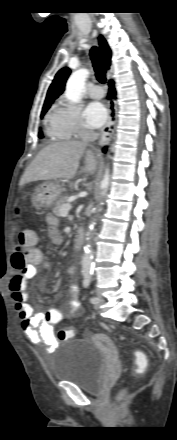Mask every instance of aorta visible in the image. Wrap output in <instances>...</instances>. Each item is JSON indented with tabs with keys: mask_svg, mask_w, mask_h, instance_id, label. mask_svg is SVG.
Wrapping results in <instances>:
<instances>
[{
	"mask_svg": "<svg viewBox=\"0 0 177 440\" xmlns=\"http://www.w3.org/2000/svg\"><path fill=\"white\" fill-rule=\"evenodd\" d=\"M88 75H89V71L84 68L78 69L77 71L71 74V76L67 81L66 89H65V96L68 100H70L73 103H78L80 101L81 95L85 89V81ZM109 184H110V174H109V169L107 168L105 170V174L100 184L102 197L107 193ZM102 205L103 202H100V206ZM95 224H96L95 219H93L88 226V233L86 238L87 243L84 247V255L81 262L82 272L85 275H90L92 272L93 254H92L91 237Z\"/></svg>",
	"mask_w": 177,
	"mask_h": 440,
	"instance_id": "aorta-1",
	"label": "aorta"
}]
</instances>
